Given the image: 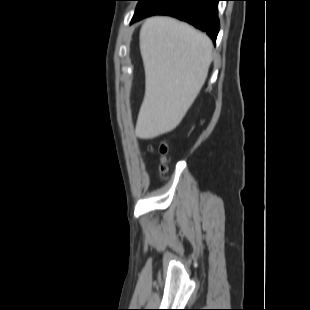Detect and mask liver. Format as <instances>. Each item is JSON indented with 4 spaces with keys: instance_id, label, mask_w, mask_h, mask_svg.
I'll return each instance as SVG.
<instances>
[{
    "instance_id": "obj_1",
    "label": "liver",
    "mask_w": 310,
    "mask_h": 310,
    "mask_svg": "<svg viewBox=\"0 0 310 310\" xmlns=\"http://www.w3.org/2000/svg\"><path fill=\"white\" fill-rule=\"evenodd\" d=\"M213 45L187 23L148 18L140 30L145 96L135 134L152 139L174 130L196 99L208 75Z\"/></svg>"
}]
</instances>
